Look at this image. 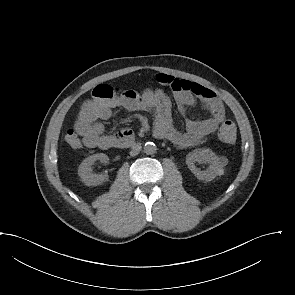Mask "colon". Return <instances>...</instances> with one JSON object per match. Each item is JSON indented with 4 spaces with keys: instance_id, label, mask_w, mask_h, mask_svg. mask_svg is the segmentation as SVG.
<instances>
[{
    "instance_id": "obj_1",
    "label": "colon",
    "mask_w": 295,
    "mask_h": 295,
    "mask_svg": "<svg viewBox=\"0 0 295 295\" xmlns=\"http://www.w3.org/2000/svg\"><path fill=\"white\" fill-rule=\"evenodd\" d=\"M119 95V90L110 85H98L92 91L93 99L86 103L88 105L90 102H105L117 98ZM236 126L231 121H224L219 130L220 139L227 144H231L236 140Z\"/></svg>"
}]
</instances>
